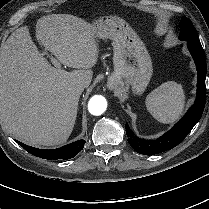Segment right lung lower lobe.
Listing matches in <instances>:
<instances>
[{
  "label": "right lung lower lobe",
  "mask_w": 209,
  "mask_h": 209,
  "mask_svg": "<svg viewBox=\"0 0 209 209\" xmlns=\"http://www.w3.org/2000/svg\"><path fill=\"white\" fill-rule=\"evenodd\" d=\"M20 146H22L26 151L34 156L40 157L42 159L57 160V159H70L76 156L84 147L85 141L78 140L76 142L65 145L57 149H38L28 145H25L19 141H16Z\"/></svg>",
  "instance_id": "1"
}]
</instances>
